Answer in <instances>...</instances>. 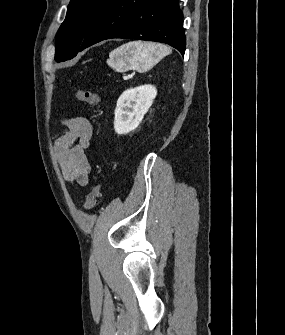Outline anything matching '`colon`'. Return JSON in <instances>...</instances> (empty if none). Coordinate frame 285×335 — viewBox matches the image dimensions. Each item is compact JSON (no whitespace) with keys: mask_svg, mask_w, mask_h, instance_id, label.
<instances>
[{"mask_svg":"<svg viewBox=\"0 0 285 335\" xmlns=\"http://www.w3.org/2000/svg\"><path fill=\"white\" fill-rule=\"evenodd\" d=\"M76 98L78 101L86 103L91 106H96L101 102V95L96 92L85 91V90H77ZM101 193V185L96 183L86 197V201L84 203V210L88 211L93 209L100 197Z\"/></svg>","mask_w":285,"mask_h":335,"instance_id":"5ec220e1","label":"colon"}]
</instances>
